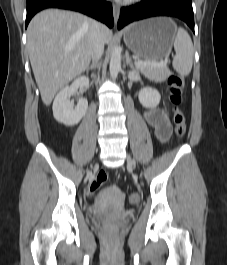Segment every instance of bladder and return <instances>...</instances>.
Segmentation results:
<instances>
[{
  "label": "bladder",
  "instance_id": "1",
  "mask_svg": "<svg viewBox=\"0 0 227 265\" xmlns=\"http://www.w3.org/2000/svg\"><path fill=\"white\" fill-rule=\"evenodd\" d=\"M106 194L108 197H113V196L117 195L116 191L113 188L107 189ZM106 221L107 220L105 217L96 218V223H98V224H104V223H106Z\"/></svg>",
  "mask_w": 227,
  "mask_h": 265
}]
</instances>
